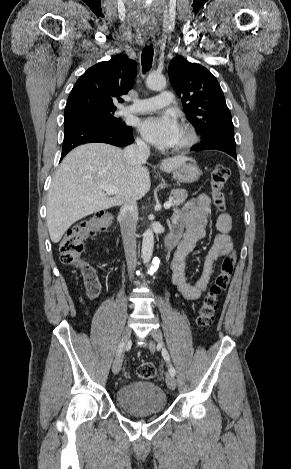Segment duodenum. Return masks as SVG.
<instances>
[{
	"instance_id": "duodenum-1",
	"label": "duodenum",
	"mask_w": 291,
	"mask_h": 469,
	"mask_svg": "<svg viewBox=\"0 0 291 469\" xmlns=\"http://www.w3.org/2000/svg\"><path fill=\"white\" fill-rule=\"evenodd\" d=\"M178 232L173 228L168 232L165 238L164 246L167 251L173 249L178 239Z\"/></svg>"
}]
</instances>
